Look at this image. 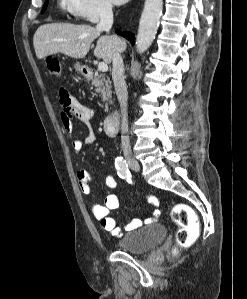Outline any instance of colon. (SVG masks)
I'll return each instance as SVG.
<instances>
[{"label":"colon","mask_w":247,"mask_h":299,"mask_svg":"<svg viewBox=\"0 0 247 299\" xmlns=\"http://www.w3.org/2000/svg\"><path fill=\"white\" fill-rule=\"evenodd\" d=\"M46 66L50 75L59 77L61 75V64L56 57H48ZM171 217L178 226L175 240L179 246H189L198 236L199 223L194 211L186 204H176L171 211ZM176 250L172 251L174 254Z\"/></svg>","instance_id":"5ec220e1"}]
</instances>
